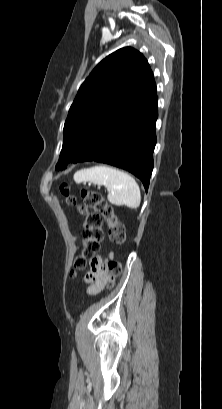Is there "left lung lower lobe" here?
<instances>
[{
    "mask_svg": "<svg viewBox=\"0 0 222 409\" xmlns=\"http://www.w3.org/2000/svg\"><path fill=\"white\" fill-rule=\"evenodd\" d=\"M157 116V95L145 102L128 99L73 163L96 161L125 169L138 177L147 191Z\"/></svg>",
    "mask_w": 222,
    "mask_h": 409,
    "instance_id": "obj_1",
    "label": "left lung lower lobe"
}]
</instances>
